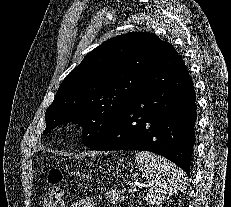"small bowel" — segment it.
<instances>
[{
    "label": "small bowel",
    "instance_id": "small-bowel-1",
    "mask_svg": "<svg viewBox=\"0 0 231 207\" xmlns=\"http://www.w3.org/2000/svg\"><path fill=\"white\" fill-rule=\"evenodd\" d=\"M71 207H96L94 202L90 199L79 198L75 200Z\"/></svg>",
    "mask_w": 231,
    "mask_h": 207
}]
</instances>
